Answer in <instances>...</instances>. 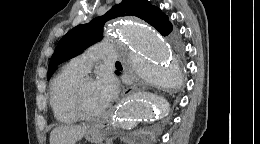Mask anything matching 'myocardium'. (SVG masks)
Returning a JSON list of instances; mask_svg holds the SVG:
<instances>
[{
  "mask_svg": "<svg viewBox=\"0 0 260 144\" xmlns=\"http://www.w3.org/2000/svg\"><path fill=\"white\" fill-rule=\"evenodd\" d=\"M94 82L95 80L90 77H82L76 82L73 88V92L70 99V107L72 111L75 113V115L82 120L95 121L101 118L105 114L107 109L105 107L104 109H102L97 113H88L83 107L82 104L83 89L85 85H87L88 83H94Z\"/></svg>",
  "mask_w": 260,
  "mask_h": 144,
  "instance_id": "myocardium-1",
  "label": "myocardium"
}]
</instances>
